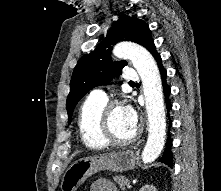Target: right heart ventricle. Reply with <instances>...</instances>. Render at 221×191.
<instances>
[{"mask_svg": "<svg viewBox=\"0 0 221 191\" xmlns=\"http://www.w3.org/2000/svg\"><path fill=\"white\" fill-rule=\"evenodd\" d=\"M107 100L87 97L79 110L78 128L83 144L94 150L105 149L110 146L101 136L102 111Z\"/></svg>", "mask_w": 221, "mask_h": 191, "instance_id": "e07e8e85", "label": "right heart ventricle"}]
</instances>
